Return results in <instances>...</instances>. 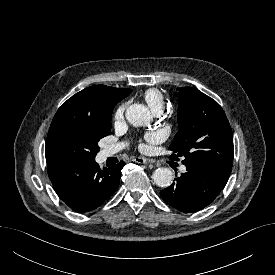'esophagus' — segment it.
I'll list each match as a JSON object with an SVG mask.
<instances>
[{
  "label": "esophagus",
  "instance_id": "obj_1",
  "mask_svg": "<svg viewBox=\"0 0 275 275\" xmlns=\"http://www.w3.org/2000/svg\"><path fill=\"white\" fill-rule=\"evenodd\" d=\"M134 161L139 164H148L153 162V160L145 157H136Z\"/></svg>",
  "mask_w": 275,
  "mask_h": 275
}]
</instances>
